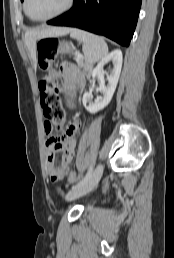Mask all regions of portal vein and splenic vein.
Instances as JSON below:
<instances>
[{
  "mask_svg": "<svg viewBox=\"0 0 174 258\" xmlns=\"http://www.w3.org/2000/svg\"><path fill=\"white\" fill-rule=\"evenodd\" d=\"M81 58H82V55L78 54L76 59L79 60Z\"/></svg>",
  "mask_w": 174,
  "mask_h": 258,
  "instance_id": "18ae733b",
  "label": "portal vein and splenic vein"
}]
</instances>
